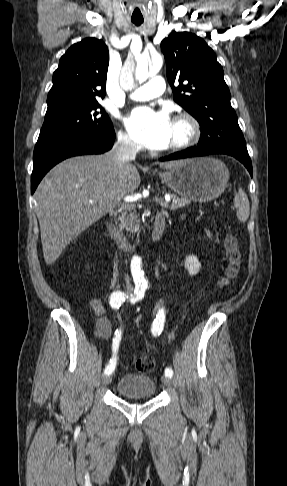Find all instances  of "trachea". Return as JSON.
Wrapping results in <instances>:
<instances>
[{"label":"trachea","mask_w":287,"mask_h":486,"mask_svg":"<svg viewBox=\"0 0 287 486\" xmlns=\"http://www.w3.org/2000/svg\"><path fill=\"white\" fill-rule=\"evenodd\" d=\"M133 23H134L136 26H140V25L143 23V20H139V21H133Z\"/></svg>","instance_id":"obj_1"}]
</instances>
